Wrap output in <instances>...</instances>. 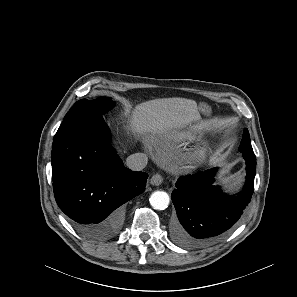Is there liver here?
I'll return each instance as SVG.
<instances>
[{"label":"liver","mask_w":297,"mask_h":297,"mask_svg":"<svg viewBox=\"0 0 297 297\" xmlns=\"http://www.w3.org/2000/svg\"><path fill=\"white\" fill-rule=\"evenodd\" d=\"M198 120L200 114L194 100L161 98L137 105L125 128L143 137H165Z\"/></svg>","instance_id":"6515ba94"}]
</instances>
